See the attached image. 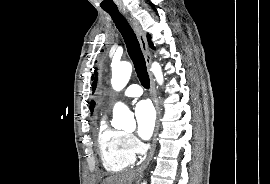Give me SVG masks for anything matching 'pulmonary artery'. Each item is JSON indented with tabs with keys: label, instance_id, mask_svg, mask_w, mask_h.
<instances>
[{
	"label": "pulmonary artery",
	"instance_id": "1",
	"mask_svg": "<svg viewBox=\"0 0 270 184\" xmlns=\"http://www.w3.org/2000/svg\"><path fill=\"white\" fill-rule=\"evenodd\" d=\"M143 93L142 88L137 84H132L126 88L124 91L125 97H139Z\"/></svg>",
	"mask_w": 270,
	"mask_h": 184
}]
</instances>
